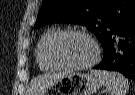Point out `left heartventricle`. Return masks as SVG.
Masks as SVG:
<instances>
[{
  "mask_svg": "<svg viewBox=\"0 0 135 95\" xmlns=\"http://www.w3.org/2000/svg\"><path fill=\"white\" fill-rule=\"evenodd\" d=\"M55 55L65 64L79 65L92 59L94 48L87 38L79 35H68L56 45Z\"/></svg>",
  "mask_w": 135,
  "mask_h": 95,
  "instance_id": "b2bd125f",
  "label": "left heart ventricle"
}]
</instances>
